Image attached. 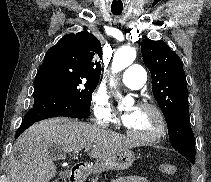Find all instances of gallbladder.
Listing matches in <instances>:
<instances>
[{
	"label": "gallbladder",
	"mask_w": 211,
	"mask_h": 182,
	"mask_svg": "<svg viewBox=\"0 0 211 182\" xmlns=\"http://www.w3.org/2000/svg\"><path fill=\"white\" fill-rule=\"evenodd\" d=\"M48 154L53 158H60L62 156V150L58 145H52L48 149Z\"/></svg>",
	"instance_id": "obj_1"
}]
</instances>
